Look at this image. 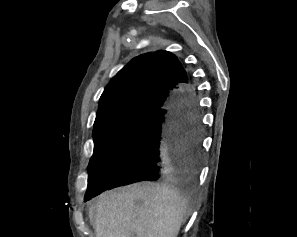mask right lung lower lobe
I'll return each mask as SVG.
<instances>
[{
	"instance_id": "obj_1",
	"label": "right lung lower lobe",
	"mask_w": 297,
	"mask_h": 237,
	"mask_svg": "<svg viewBox=\"0 0 297 237\" xmlns=\"http://www.w3.org/2000/svg\"><path fill=\"white\" fill-rule=\"evenodd\" d=\"M195 87L175 90L168 104L152 113L105 190L140 181L169 180L195 173L201 158V120Z\"/></svg>"
}]
</instances>
